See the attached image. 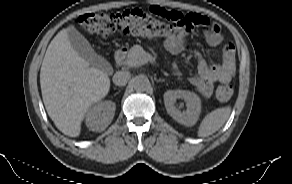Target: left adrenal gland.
Masks as SVG:
<instances>
[{"instance_id":"left-adrenal-gland-1","label":"left adrenal gland","mask_w":292,"mask_h":184,"mask_svg":"<svg viewBox=\"0 0 292 184\" xmlns=\"http://www.w3.org/2000/svg\"><path fill=\"white\" fill-rule=\"evenodd\" d=\"M163 81H165V79H158V80H156V82H163Z\"/></svg>"}]
</instances>
